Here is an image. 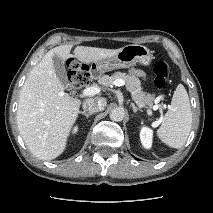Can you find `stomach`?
Segmentation results:
<instances>
[{
    "label": "stomach",
    "mask_w": 213,
    "mask_h": 213,
    "mask_svg": "<svg viewBox=\"0 0 213 213\" xmlns=\"http://www.w3.org/2000/svg\"><path fill=\"white\" fill-rule=\"evenodd\" d=\"M151 60V51L146 46L129 44L122 47L113 57L98 62H92L89 66V72L93 75H100L107 71L131 67L136 64L148 66L151 63Z\"/></svg>",
    "instance_id": "1"
}]
</instances>
